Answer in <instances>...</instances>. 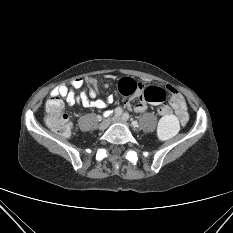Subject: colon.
I'll list each match as a JSON object with an SVG mask.
<instances>
[{
  "label": "colon",
  "mask_w": 233,
  "mask_h": 233,
  "mask_svg": "<svg viewBox=\"0 0 233 233\" xmlns=\"http://www.w3.org/2000/svg\"><path fill=\"white\" fill-rule=\"evenodd\" d=\"M119 91L123 95H138L140 99L152 104H163L167 98V93L160 87L144 88L133 79L126 78L120 81ZM161 120L158 125V136L163 141L173 139L179 130L180 120L173 114L167 106L160 108ZM45 122L49 128L61 136H69L71 133V123L63 111V103L58 96H53L47 102Z\"/></svg>",
  "instance_id": "5ec220e1"
}]
</instances>
